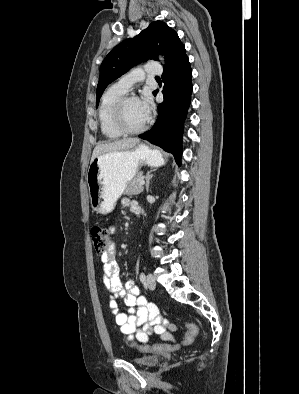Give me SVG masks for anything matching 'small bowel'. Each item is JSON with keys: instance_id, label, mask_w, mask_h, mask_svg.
<instances>
[{"instance_id": "small-bowel-1", "label": "small bowel", "mask_w": 299, "mask_h": 394, "mask_svg": "<svg viewBox=\"0 0 299 394\" xmlns=\"http://www.w3.org/2000/svg\"><path fill=\"white\" fill-rule=\"evenodd\" d=\"M122 204L134 213L140 211L136 202L128 198H123ZM109 231L113 234L114 227H110ZM115 257L116 245L112 243L101 257V261L102 279L106 289L117 298H121L126 306V311H119L117 300H110L109 307L115 315L116 325L129 341L138 340L145 343L150 335L156 334L163 341L174 342L172 332L176 327L161 315L155 303L141 294L134 280L121 282Z\"/></svg>"}]
</instances>
